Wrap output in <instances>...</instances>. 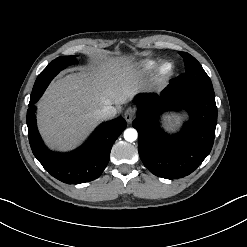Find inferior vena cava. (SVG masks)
Returning a JSON list of instances; mask_svg holds the SVG:
<instances>
[{
    "mask_svg": "<svg viewBox=\"0 0 247 247\" xmlns=\"http://www.w3.org/2000/svg\"><path fill=\"white\" fill-rule=\"evenodd\" d=\"M117 114V110L113 106H104L100 111H99V117L102 120H107V119H112L115 117Z\"/></svg>",
    "mask_w": 247,
    "mask_h": 247,
    "instance_id": "1",
    "label": "inferior vena cava"
}]
</instances>
